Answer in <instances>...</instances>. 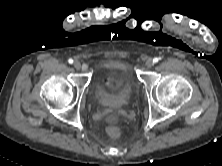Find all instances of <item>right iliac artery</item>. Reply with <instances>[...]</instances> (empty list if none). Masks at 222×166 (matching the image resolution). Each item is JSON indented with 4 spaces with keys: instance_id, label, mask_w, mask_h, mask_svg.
Segmentation results:
<instances>
[{
    "instance_id": "right-iliac-artery-1",
    "label": "right iliac artery",
    "mask_w": 222,
    "mask_h": 166,
    "mask_svg": "<svg viewBox=\"0 0 222 166\" xmlns=\"http://www.w3.org/2000/svg\"><path fill=\"white\" fill-rule=\"evenodd\" d=\"M68 62H69L70 64H72V63H73V59L70 58V59L68 60Z\"/></svg>"
}]
</instances>
